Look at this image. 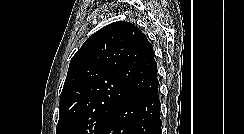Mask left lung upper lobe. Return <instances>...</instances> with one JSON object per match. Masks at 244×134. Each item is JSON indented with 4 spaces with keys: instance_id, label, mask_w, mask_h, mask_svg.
<instances>
[{
    "instance_id": "1",
    "label": "left lung upper lobe",
    "mask_w": 244,
    "mask_h": 134,
    "mask_svg": "<svg viewBox=\"0 0 244 134\" xmlns=\"http://www.w3.org/2000/svg\"><path fill=\"white\" fill-rule=\"evenodd\" d=\"M151 43L134 24H109L72 57L59 102L56 134H100L127 99L158 88Z\"/></svg>"
}]
</instances>
